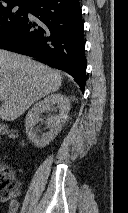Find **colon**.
I'll use <instances>...</instances> for the list:
<instances>
[{"label": "colon", "mask_w": 128, "mask_h": 213, "mask_svg": "<svg viewBox=\"0 0 128 213\" xmlns=\"http://www.w3.org/2000/svg\"><path fill=\"white\" fill-rule=\"evenodd\" d=\"M0 136L17 139L18 132L0 122ZM19 182L12 170L0 168V202H6L19 194Z\"/></svg>", "instance_id": "5ec220e1"}]
</instances>
